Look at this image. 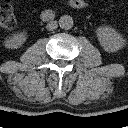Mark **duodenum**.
<instances>
[{"label": "duodenum", "mask_w": 128, "mask_h": 128, "mask_svg": "<svg viewBox=\"0 0 128 128\" xmlns=\"http://www.w3.org/2000/svg\"><path fill=\"white\" fill-rule=\"evenodd\" d=\"M67 5L73 9L81 10L86 6L85 0H67ZM56 14L55 11L51 9H46L41 13V18L45 22H50L54 20Z\"/></svg>", "instance_id": "duodenum-1"}]
</instances>
